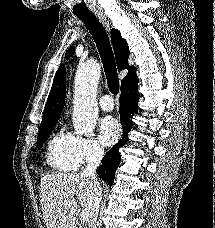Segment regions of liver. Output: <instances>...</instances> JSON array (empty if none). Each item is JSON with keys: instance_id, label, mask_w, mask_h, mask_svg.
Here are the masks:
<instances>
[{"instance_id": "1", "label": "liver", "mask_w": 215, "mask_h": 228, "mask_svg": "<svg viewBox=\"0 0 215 228\" xmlns=\"http://www.w3.org/2000/svg\"><path fill=\"white\" fill-rule=\"evenodd\" d=\"M91 180L80 174H48L40 182L39 196L46 228H76L78 204L91 218Z\"/></svg>"}]
</instances>
